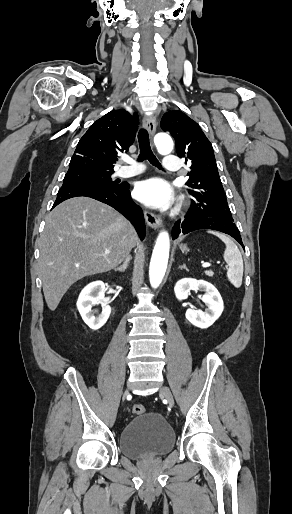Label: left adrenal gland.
Listing matches in <instances>:
<instances>
[{"mask_svg":"<svg viewBox=\"0 0 292 514\" xmlns=\"http://www.w3.org/2000/svg\"><path fill=\"white\" fill-rule=\"evenodd\" d=\"M180 270H187L188 272V268H186L185 264H183V266H179Z\"/></svg>","mask_w":292,"mask_h":514,"instance_id":"left-adrenal-gland-1","label":"left adrenal gland"}]
</instances>
